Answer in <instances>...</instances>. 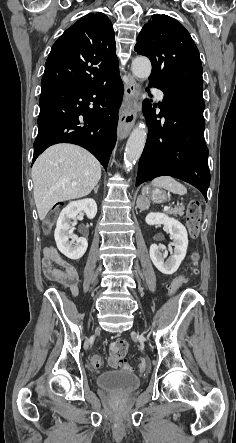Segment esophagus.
I'll list each match as a JSON object with an SVG mask.
<instances>
[{"label": "esophagus", "instance_id": "obj_1", "mask_svg": "<svg viewBox=\"0 0 236 443\" xmlns=\"http://www.w3.org/2000/svg\"><path fill=\"white\" fill-rule=\"evenodd\" d=\"M139 85L131 74H128V83L125 86V96L127 100L136 102L138 100ZM137 118V109L135 106H130L123 110L120 115L117 136L119 140H122L128 136L134 127Z\"/></svg>", "mask_w": 236, "mask_h": 443}]
</instances>
